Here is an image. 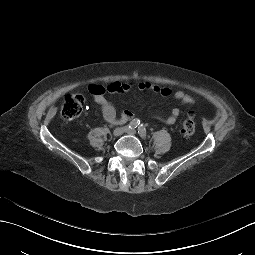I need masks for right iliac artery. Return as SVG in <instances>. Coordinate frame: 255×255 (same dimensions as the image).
Returning a JSON list of instances; mask_svg holds the SVG:
<instances>
[{
  "instance_id": "right-iliac-artery-1",
  "label": "right iliac artery",
  "mask_w": 255,
  "mask_h": 255,
  "mask_svg": "<svg viewBox=\"0 0 255 255\" xmlns=\"http://www.w3.org/2000/svg\"><path fill=\"white\" fill-rule=\"evenodd\" d=\"M139 124H140V120H139V119H133V120L129 123L128 127H129V128H137V127L139 126Z\"/></svg>"
}]
</instances>
